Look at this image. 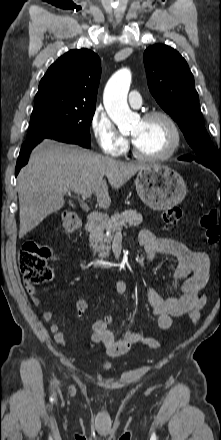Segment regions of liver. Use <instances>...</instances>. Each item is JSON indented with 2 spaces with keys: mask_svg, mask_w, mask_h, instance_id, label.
Segmentation results:
<instances>
[{
  "mask_svg": "<svg viewBox=\"0 0 221 440\" xmlns=\"http://www.w3.org/2000/svg\"><path fill=\"white\" fill-rule=\"evenodd\" d=\"M145 163H126L93 151L56 141H43L30 154L18 175L22 238L65 204L64 195L92 192L100 208L111 205L108 183L122 187ZM107 179V180H106Z\"/></svg>",
  "mask_w": 221,
  "mask_h": 440,
  "instance_id": "obj_1",
  "label": "liver"
}]
</instances>
